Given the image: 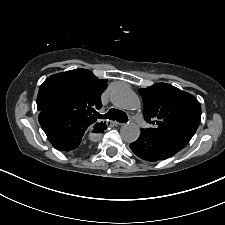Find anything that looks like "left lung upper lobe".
I'll return each instance as SVG.
<instances>
[{
    "mask_svg": "<svg viewBox=\"0 0 225 225\" xmlns=\"http://www.w3.org/2000/svg\"><path fill=\"white\" fill-rule=\"evenodd\" d=\"M138 92L144 102V118L152 124L143 132L157 137H193L201 120V105L193 95L166 83Z\"/></svg>",
    "mask_w": 225,
    "mask_h": 225,
    "instance_id": "obj_1",
    "label": "left lung upper lobe"
}]
</instances>
